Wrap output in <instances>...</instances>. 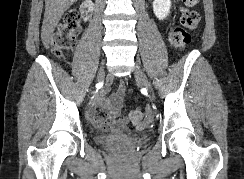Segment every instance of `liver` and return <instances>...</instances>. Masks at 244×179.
<instances>
[{
    "label": "liver",
    "mask_w": 244,
    "mask_h": 179,
    "mask_svg": "<svg viewBox=\"0 0 244 179\" xmlns=\"http://www.w3.org/2000/svg\"><path fill=\"white\" fill-rule=\"evenodd\" d=\"M76 0H45V14L41 30V40L44 48L48 50L51 36L59 24L64 12L74 4Z\"/></svg>",
    "instance_id": "liver-1"
}]
</instances>
